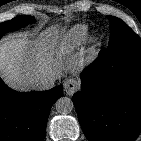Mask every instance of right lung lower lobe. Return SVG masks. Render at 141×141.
I'll use <instances>...</instances> for the list:
<instances>
[{
  "mask_svg": "<svg viewBox=\"0 0 141 141\" xmlns=\"http://www.w3.org/2000/svg\"><path fill=\"white\" fill-rule=\"evenodd\" d=\"M61 96L62 85L18 93L0 79V141H43L50 108Z\"/></svg>",
  "mask_w": 141,
  "mask_h": 141,
  "instance_id": "obj_1",
  "label": "right lung lower lobe"
}]
</instances>
